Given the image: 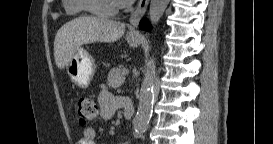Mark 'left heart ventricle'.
Wrapping results in <instances>:
<instances>
[{
	"label": "left heart ventricle",
	"mask_w": 273,
	"mask_h": 144,
	"mask_svg": "<svg viewBox=\"0 0 273 144\" xmlns=\"http://www.w3.org/2000/svg\"><path fill=\"white\" fill-rule=\"evenodd\" d=\"M96 6L107 10L116 6L114 0H96Z\"/></svg>",
	"instance_id": "left-heart-ventricle-1"
}]
</instances>
